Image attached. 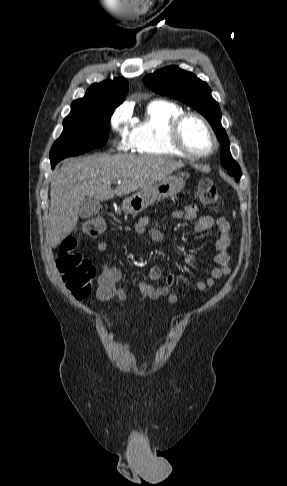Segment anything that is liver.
<instances>
[{"label":"liver","instance_id":"liver-1","mask_svg":"<svg viewBox=\"0 0 287 486\" xmlns=\"http://www.w3.org/2000/svg\"><path fill=\"white\" fill-rule=\"evenodd\" d=\"M184 167L165 157L100 154L66 160L51 179L47 238L52 247L71 234L78 223L81 201H99L151 186ZM121 181L115 189L112 183Z\"/></svg>","mask_w":287,"mask_h":486}]
</instances>
